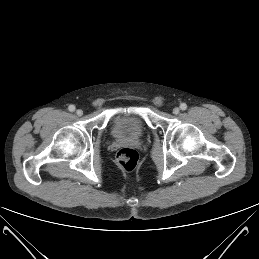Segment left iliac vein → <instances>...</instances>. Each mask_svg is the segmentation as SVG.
<instances>
[{"label":"left iliac vein","instance_id":"left-iliac-vein-1","mask_svg":"<svg viewBox=\"0 0 259 259\" xmlns=\"http://www.w3.org/2000/svg\"><path fill=\"white\" fill-rule=\"evenodd\" d=\"M180 112V109L178 108V107H175L174 109H173V114H178Z\"/></svg>","mask_w":259,"mask_h":259}]
</instances>
